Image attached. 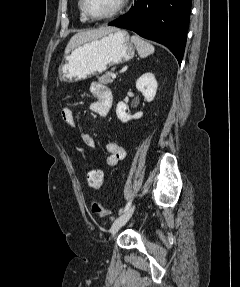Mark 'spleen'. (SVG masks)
I'll list each match as a JSON object with an SVG mask.
<instances>
[{
    "instance_id": "1",
    "label": "spleen",
    "mask_w": 240,
    "mask_h": 287,
    "mask_svg": "<svg viewBox=\"0 0 240 287\" xmlns=\"http://www.w3.org/2000/svg\"><path fill=\"white\" fill-rule=\"evenodd\" d=\"M131 40L134 43L140 57L145 58L148 55H151L154 53L155 51L154 46L150 44L149 42L141 39L139 36L133 35L131 37Z\"/></svg>"
}]
</instances>
